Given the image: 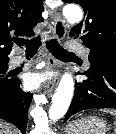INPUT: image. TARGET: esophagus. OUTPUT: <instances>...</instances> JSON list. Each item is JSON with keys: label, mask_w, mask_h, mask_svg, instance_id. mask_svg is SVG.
Listing matches in <instances>:
<instances>
[{"label": "esophagus", "mask_w": 116, "mask_h": 134, "mask_svg": "<svg viewBox=\"0 0 116 134\" xmlns=\"http://www.w3.org/2000/svg\"><path fill=\"white\" fill-rule=\"evenodd\" d=\"M53 34L57 39H63L66 35V27H65L64 21L62 20L60 15L57 13H55L54 20H53ZM59 67H60L59 62L55 58L50 57L49 68L58 69ZM58 80H59V76L56 75L54 78L48 81V83L45 86L46 87L45 94L49 95L52 93Z\"/></svg>", "instance_id": "obj_1"}]
</instances>
